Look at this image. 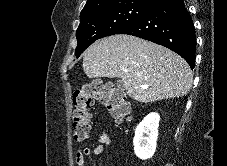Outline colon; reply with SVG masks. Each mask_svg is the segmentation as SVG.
<instances>
[{
	"label": "colon",
	"mask_w": 227,
	"mask_h": 166,
	"mask_svg": "<svg viewBox=\"0 0 227 166\" xmlns=\"http://www.w3.org/2000/svg\"><path fill=\"white\" fill-rule=\"evenodd\" d=\"M95 100L108 108L116 123L123 122L131 114V102L123 91L101 80L87 82L73 95L72 130L76 141L89 137Z\"/></svg>",
	"instance_id": "obj_1"
}]
</instances>
